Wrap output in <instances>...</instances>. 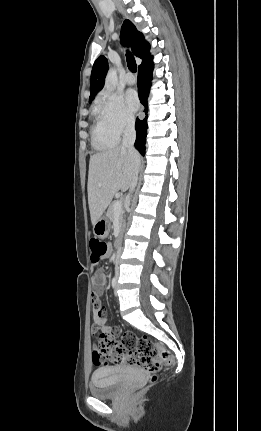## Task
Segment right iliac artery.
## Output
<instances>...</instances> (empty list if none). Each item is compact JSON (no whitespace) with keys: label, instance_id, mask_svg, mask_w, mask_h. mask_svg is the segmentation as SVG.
<instances>
[{"label":"right iliac artery","instance_id":"1","mask_svg":"<svg viewBox=\"0 0 261 431\" xmlns=\"http://www.w3.org/2000/svg\"><path fill=\"white\" fill-rule=\"evenodd\" d=\"M111 284H112V287H113V288H115V287H116L117 281H116V278H115V277L112 279Z\"/></svg>","mask_w":261,"mask_h":431}]
</instances>
